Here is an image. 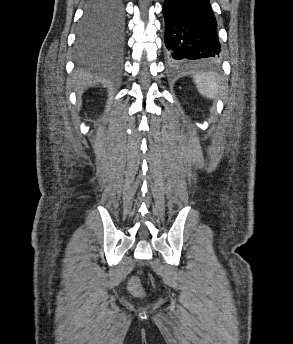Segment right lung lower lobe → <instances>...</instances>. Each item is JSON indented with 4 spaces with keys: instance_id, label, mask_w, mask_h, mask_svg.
I'll list each match as a JSON object with an SVG mask.
<instances>
[{
    "instance_id": "98d812e1",
    "label": "right lung lower lobe",
    "mask_w": 293,
    "mask_h": 344,
    "mask_svg": "<svg viewBox=\"0 0 293 344\" xmlns=\"http://www.w3.org/2000/svg\"><path fill=\"white\" fill-rule=\"evenodd\" d=\"M121 4H122V0H121ZM122 9H123V4H122ZM123 23H124V10H123V22H122V30L115 34L113 36V45H120L122 43V38H123Z\"/></svg>"
}]
</instances>
